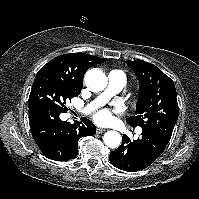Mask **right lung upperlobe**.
<instances>
[{"instance_id":"right-lung-upper-lobe-1","label":"right lung upper lobe","mask_w":199,"mask_h":199,"mask_svg":"<svg viewBox=\"0 0 199 199\" xmlns=\"http://www.w3.org/2000/svg\"><path fill=\"white\" fill-rule=\"evenodd\" d=\"M107 61L84 53L64 54L45 64L36 77H55L82 87L83 76L89 67Z\"/></svg>"}]
</instances>
